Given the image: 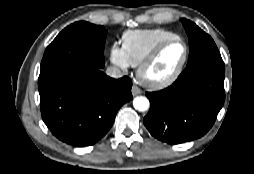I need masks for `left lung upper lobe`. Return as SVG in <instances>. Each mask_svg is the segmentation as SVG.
<instances>
[{
	"label": "left lung upper lobe",
	"instance_id": "5c2ea615",
	"mask_svg": "<svg viewBox=\"0 0 254 174\" xmlns=\"http://www.w3.org/2000/svg\"><path fill=\"white\" fill-rule=\"evenodd\" d=\"M189 38V57L181 77L189 76L204 69L225 70L224 62L213 39L195 23L182 19Z\"/></svg>",
	"mask_w": 254,
	"mask_h": 174
}]
</instances>
